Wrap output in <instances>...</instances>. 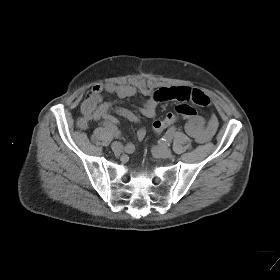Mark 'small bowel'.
<instances>
[{
    "instance_id": "c3829d8e",
    "label": "small bowel",
    "mask_w": 280,
    "mask_h": 280,
    "mask_svg": "<svg viewBox=\"0 0 280 280\" xmlns=\"http://www.w3.org/2000/svg\"><path fill=\"white\" fill-rule=\"evenodd\" d=\"M115 94L118 99L134 97L137 89L128 84L99 83L96 84L81 105V114L83 124L86 127L89 121L104 119L107 122L116 124L117 120L114 114L127 118L138 123L140 118L130 110L121 107L116 101H104L103 94ZM175 100L178 102H191L199 106H208L210 98L200 90L189 87H163L153 91L149 98L139 108V112L147 118H153L156 115L157 106L166 101ZM218 128L216 116H211L208 120L202 116L194 115L188 118L185 124L187 134L198 143H205L211 140ZM146 135V129L140 127L136 136L142 140Z\"/></svg>"
}]
</instances>
